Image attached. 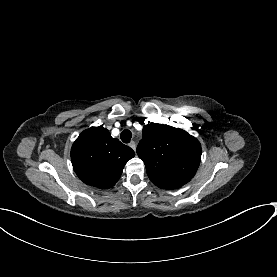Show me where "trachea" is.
Instances as JSON below:
<instances>
[{
	"mask_svg": "<svg viewBox=\"0 0 277 277\" xmlns=\"http://www.w3.org/2000/svg\"><path fill=\"white\" fill-rule=\"evenodd\" d=\"M120 138H121L122 142L129 143L132 138V133L130 132V130L125 129L121 132Z\"/></svg>",
	"mask_w": 277,
	"mask_h": 277,
	"instance_id": "1",
	"label": "trachea"
}]
</instances>
